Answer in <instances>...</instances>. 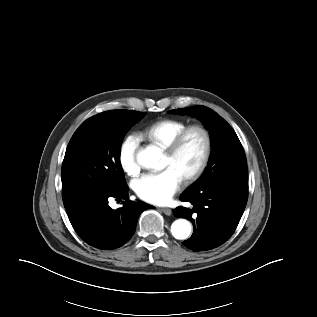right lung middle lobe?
Masks as SVG:
<instances>
[{
    "label": "right lung middle lobe",
    "mask_w": 317,
    "mask_h": 317,
    "mask_svg": "<svg viewBox=\"0 0 317 317\" xmlns=\"http://www.w3.org/2000/svg\"><path fill=\"white\" fill-rule=\"evenodd\" d=\"M145 113L111 110L82 123L72 136L63 160L61 178L64 206L87 199L98 191L126 186L120 164L124 136Z\"/></svg>",
    "instance_id": "1"
}]
</instances>
